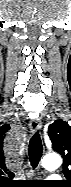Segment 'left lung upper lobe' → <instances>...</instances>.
I'll list each match as a JSON object with an SVG mask.
<instances>
[{
	"label": "left lung upper lobe",
	"mask_w": 71,
	"mask_h": 187,
	"mask_svg": "<svg viewBox=\"0 0 71 187\" xmlns=\"http://www.w3.org/2000/svg\"><path fill=\"white\" fill-rule=\"evenodd\" d=\"M48 136L53 150L63 157V170L66 177H71V126L63 121L56 120L48 127Z\"/></svg>",
	"instance_id": "obj_1"
}]
</instances>
